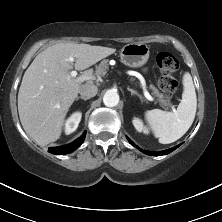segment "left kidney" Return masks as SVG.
<instances>
[{
  "label": "left kidney",
  "mask_w": 222,
  "mask_h": 222,
  "mask_svg": "<svg viewBox=\"0 0 222 222\" xmlns=\"http://www.w3.org/2000/svg\"><path fill=\"white\" fill-rule=\"evenodd\" d=\"M133 125L138 132H144L145 134L149 132L148 129L143 125V122L139 118L133 119Z\"/></svg>",
  "instance_id": "left-kidney-1"
}]
</instances>
